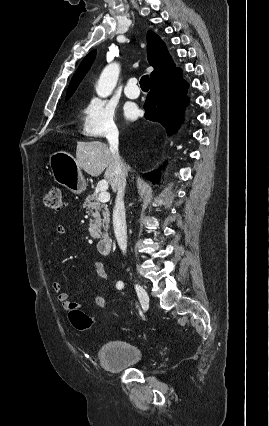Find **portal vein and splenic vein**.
I'll return each instance as SVG.
<instances>
[{
  "label": "portal vein and splenic vein",
  "instance_id": "obj_1",
  "mask_svg": "<svg viewBox=\"0 0 269 426\" xmlns=\"http://www.w3.org/2000/svg\"><path fill=\"white\" fill-rule=\"evenodd\" d=\"M98 200L103 203L110 200V194L109 192H106V188L103 184H101V192L99 193Z\"/></svg>",
  "mask_w": 269,
  "mask_h": 426
}]
</instances>
